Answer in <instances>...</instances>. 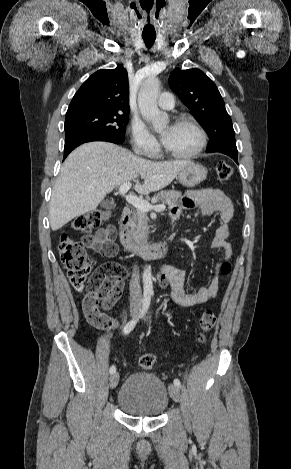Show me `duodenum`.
I'll list each match as a JSON object with an SVG mask.
<instances>
[{"label":"duodenum","instance_id":"obj_1","mask_svg":"<svg viewBox=\"0 0 291 469\" xmlns=\"http://www.w3.org/2000/svg\"><path fill=\"white\" fill-rule=\"evenodd\" d=\"M131 210L124 207L119 224V237L121 244L129 251L139 254L147 259H160L168 252V243L165 241L153 244H143L138 242L132 235L130 228Z\"/></svg>","mask_w":291,"mask_h":469}]
</instances>
